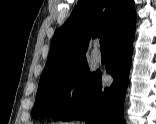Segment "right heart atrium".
Returning a JSON list of instances; mask_svg holds the SVG:
<instances>
[{"instance_id":"1","label":"right heart atrium","mask_w":156,"mask_h":124,"mask_svg":"<svg viewBox=\"0 0 156 124\" xmlns=\"http://www.w3.org/2000/svg\"><path fill=\"white\" fill-rule=\"evenodd\" d=\"M81 82L78 80L74 82L67 90L66 97L69 101L74 100L78 91L80 90Z\"/></svg>"}]
</instances>
